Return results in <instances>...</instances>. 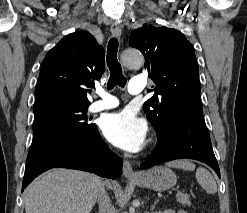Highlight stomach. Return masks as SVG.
Wrapping results in <instances>:
<instances>
[{"mask_svg": "<svg viewBox=\"0 0 247 213\" xmlns=\"http://www.w3.org/2000/svg\"><path fill=\"white\" fill-rule=\"evenodd\" d=\"M133 182L143 188L163 191L172 188L177 182V177L171 169L157 166L141 173Z\"/></svg>", "mask_w": 247, "mask_h": 213, "instance_id": "stomach-1", "label": "stomach"}]
</instances>
